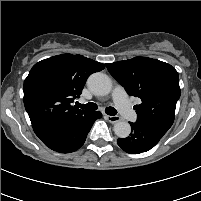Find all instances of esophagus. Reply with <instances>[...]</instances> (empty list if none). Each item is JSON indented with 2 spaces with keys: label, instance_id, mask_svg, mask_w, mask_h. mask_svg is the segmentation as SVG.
Segmentation results:
<instances>
[{
  "label": "esophagus",
  "instance_id": "esophagus-1",
  "mask_svg": "<svg viewBox=\"0 0 201 201\" xmlns=\"http://www.w3.org/2000/svg\"><path fill=\"white\" fill-rule=\"evenodd\" d=\"M105 117H106V119H107L110 123H113V124L120 121V117H119V116L106 115Z\"/></svg>",
  "mask_w": 201,
  "mask_h": 201
}]
</instances>
